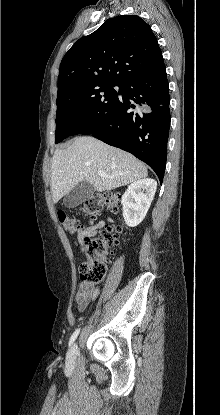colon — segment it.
<instances>
[{
	"label": "colon",
	"instance_id": "obj_1",
	"mask_svg": "<svg viewBox=\"0 0 220 415\" xmlns=\"http://www.w3.org/2000/svg\"><path fill=\"white\" fill-rule=\"evenodd\" d=\"M81 208L91 220H95L105 211L120 212L121 196L111 192L97 193L86 198ZM58 218L69 233H76L81 228L79 221L65 211H59ZM122 231L120 226H109L99 234L83 239L82 244L87 256L86 261L80 266V279L83 283L96 285L104 280L107 270L104 258L118 243Z\"/></svg>",
	"mask_w": 220,
	"mask_h": 415
}]
</instances>
